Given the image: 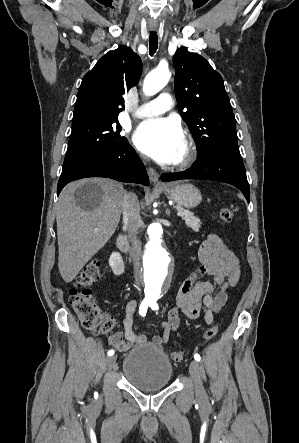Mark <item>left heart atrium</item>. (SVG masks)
I'll return each instance as SVG.
<instances>
[{
	"instance_id": "left-heart-atrium-1",
	"label": "left heart atrium",
	"mask_w": 299,
	"mask_h": 443,
	"mask_svg": "<svg viewBox=\"0 0 299 443\" xmlns=\"http://www.w3.org/2000/svg\"><path fill=\"white\" fill-rule=\"evenodd\" d=\"M132 140L145 155L169 164L177 161L185 137L179 121L168 117L142 122L134 131Z\"/></svg>"
}]
</instances>
